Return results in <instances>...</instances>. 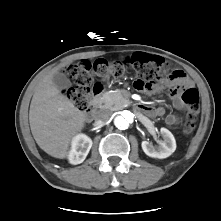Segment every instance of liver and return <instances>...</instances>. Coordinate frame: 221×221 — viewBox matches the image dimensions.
<instances>
[{"label": "liver", "instance_id": "obj_1", "mask_svg": "<svg viewBox=\"0 0 221 221\" xmlns=\"http://www.w3.org/2000/svg\"><path fill=\"white\" fill-rule=\"evenodd\" d=\"M65 64L52 69L35 87L29 110L32 135L38 146L52 157L64 159L71 141L83 129L86 115L61 94L53 76Z\"/></svg>", "mask_w": 221, "mask_h": 221}]
</instances>
